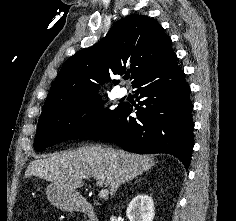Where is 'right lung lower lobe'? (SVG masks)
<instances>
[{
	"label": "right lung lower lobe",
	"mask_w": 236,
	"mask_h": 221,
	"mask_svg": "<svg viewBox=\"0 0 236 221\" xmlns=\"http://www.w3.org/2000/svg\"><path fill=\"white\" fill-rule=\"evenodd\" d=\"M176 60L174 55L165 66L133 85L138 104L144 106H138L137 118L130 116L132 107L125 103L88 139H110L122 149L139 154H171L187 169L194 146L193 104Z\"/></svg>",
	"instance_id": "1"
}]
</instances>
